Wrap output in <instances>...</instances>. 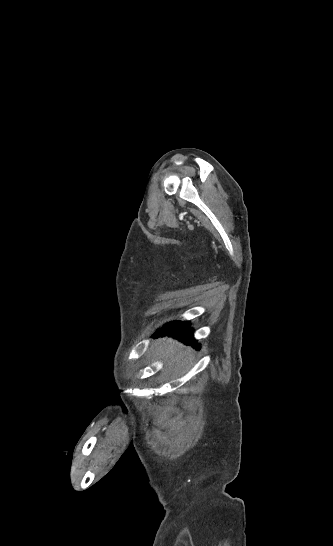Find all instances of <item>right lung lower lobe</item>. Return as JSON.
<instances>
[{
  "mask_svg": "<svg viewBox=\"0 0 333 546\" xmlns=\"http://www.w3.org/2000/svg\"><path fill=\"white\" fill-rule=\"evenodd\" d=\"M189 330L190 334H192L193 328H190L189 321H173L165 324L162 329H158L153 337L157 338L160 335L173 336L174 338H178L180 341H183L186 344H192L193 347L199 349V344H197V341L192 337H189Z\"/></svg>",
  "mask_w": 333,
  "mask_h": 546,
  "instance_id": "1",
  "label": "right lung lower lobe"
}]
</instances>
